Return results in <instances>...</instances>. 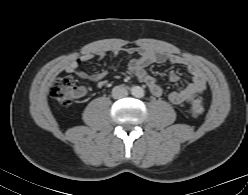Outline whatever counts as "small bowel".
<instances>
[{"label": "small bowel", "mask_w": 248, "mask_h": 195, "mask_svg": "<svg viewBox=\"0 0 248 195\" xmlns=\"http://www.w3.org/2000/svg\"><path fill=\"white\" fill-rule=\"evenodd\" d=\"M131 52H134V50H131ZM103 56L104 52H97L79 57L66 65L64 70L67 73L76 72L80 78L100 84L106 76L105 72L89 73L81 69V66L90 59L102 58ZM165 62L186 65L192 76L190 83L178 87L169 93L168 98L171 103L182 104L189 102L193 97L201 95L205 91L206 79L200 67L196 64H188L181 57L174 54L149 49L141 50L138 57L130 60L128 70L141 82L146 84L154 96L160 97L163 93V89L158 80L146 71V67L154 63L161 64ZM168 79L172 82H179L180 76L176 73H170Z\"/></svg>", "instance_id": "1"}]
</instances>
